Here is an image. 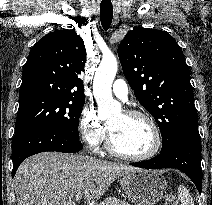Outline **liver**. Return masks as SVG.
<instances>
[{"label": "liver", "instance_id": "liver-1", "mask_svg": "<svg viewBox=\"0 0 212 205\" xmlns=\"http://www.w3.org/2000/svg\"><path fill=\"white\" fill-rule=\"evenodd\" d=\"M137 168L88 156L42 152L26 159L15 175L18 205H75L81 193L88 204L101 199L111 184Z\"/></svg>", "mask_w": 212, "mask_h": 205}]
</instances>
